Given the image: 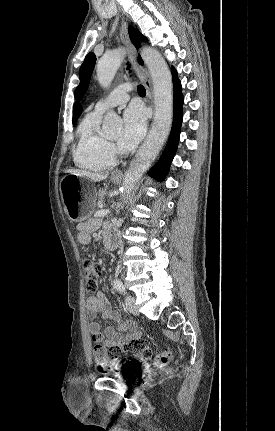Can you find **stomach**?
I'll use <instances>...</instances> for the list:
<instances>
[{"label":"stomach","instance_id":"obj_1","mask_svg":"<svg viewBox=\"0 0 275 431\" xmlns=\"http://www.w3.org/2000/svg\"><path fill=\"white\" fill-rule=\"evenodd\" d=\"M84 177L75 174L64 176L60 183V193L64 209L70 220L81 222L86 220L95 205L96 191L94 188L84 186ZM114 183L119 178L112 177Z\"/></svg>","mask_w":275,"mask_h":431}]
</instances>
